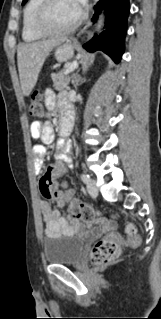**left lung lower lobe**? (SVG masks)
Instances as JSON below:
<instances>
[{
  "label": "left lung lower lobe",
  "mask_w": 161,
  "mask_h": 319,
  "mask_svg": "<svg viewBox=\"0 0 161 319\" xmlns=\"http://www.w3.org/2000/svg\"><path fill=\"white\" fill-rule=\"evenodd\" d=\"M105 7L106 24L105 31L96 36L84 48L89 51L102 50L108 54L115 63L121 60L124 53V42L127 30V19L130 11L129 0H104V4L94 6L95 13L92 21L98 19V15Z\"/></svg>",
  "instance_id": "0a47b994"
}]
</instances>
